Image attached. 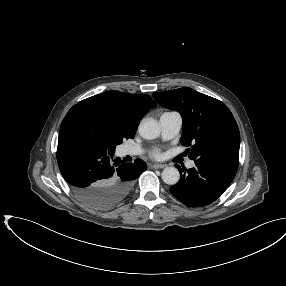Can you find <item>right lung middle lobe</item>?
<instances>
[{
  "label": "right lung middle lobe",
  "mask_w": 286,
  "mask_h": 286,
  "mask_svg": "<svg viewBox=\"0 0 286 286\" xmlns=\"http://www.w3.org/2000/svg\"><path fill=\"white\" fill-rule=\"evenodd\" d=\"M62 123L75 127L84 136L96 141L109 154H114L115 147L125 139L114 132L111 121L88 109L71 108Z\"/></svg>",
  "instance_id": "right-lung-middle-lobe-1"
}]
</instances>
